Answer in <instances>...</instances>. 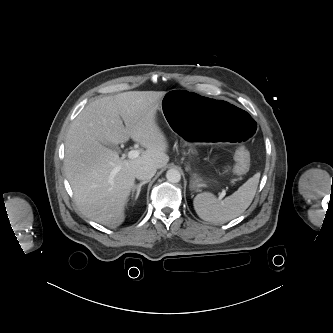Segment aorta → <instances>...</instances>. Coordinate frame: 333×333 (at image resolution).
Listing matches in <instances>:
<instances>
[{
    "instance_id": "762f6f07",
    "label": "aorta",
    "mask_w": 333,
    "mask_h": 333,
    "mask_svg": "<svg viewBox=\"0 0 333 333\" xmlns=\"http://www.w3.org/2000/svg\"><path fill=\"white\" fill-rule=\"evenodd\" d=\"M166 178L170 183H178L181 180V174L176 169H169L166 173Z\"/></svg>"
}]
</instances>
